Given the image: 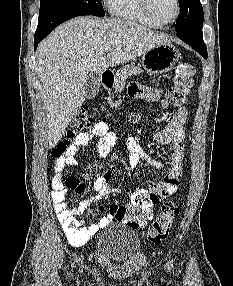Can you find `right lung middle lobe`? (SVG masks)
<instances>
[{
    "label": "right lung middle lobe",
    "mask_w": 233,
    "mask_h": 286,
    "mask_svg": "<svg viewBox=\"0 0 233 286\" xmlns=\"http://www.w3.org/2000/svg\"><path fill=\"white\" fill-rule=\"evenodd\" d=\"M61 7L73 8L98 17L105 15L101 0H40L39 19Z\"/></svg>",
    "instance_id": "dd1d6c3e"
}]
</instances>
